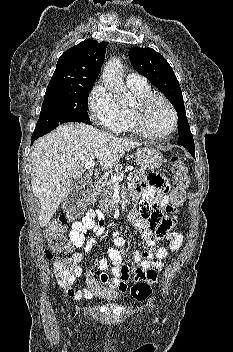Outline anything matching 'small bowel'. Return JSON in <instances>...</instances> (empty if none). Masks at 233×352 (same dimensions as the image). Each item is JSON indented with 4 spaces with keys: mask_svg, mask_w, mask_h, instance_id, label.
I'll return each instance as SVG.
<instances>
[{
    "mask_svg": "<svg viewBox=\"0 0 233 352\" xmlns=\"http://www.w3.org/2000/svg\"><path fill=\"white\" fill-rule=\"evenodd\" d=\"M169 185L166 180L158 174H150L145 180L130 187V196L133 201H139L140 212H130V219L140 231L146 245L155 251L137 250L133 253V260L139 266L130 268L122 262L125 239L119 231L112 234L114 247L109 249L108 255L97 262V270L106 276V283L121 291H126L130 282H140L145 279L149 270H160L163 267V260L167 257L168 251L164 247H158L165 239L170 241V250L176 251L182 244V235L172 231L177 222L176 208L168 203L167 193ZM164 211L166 215H164ZM91 230L95 235H102L105 232V222L102 213L92 208L88 209L80 221L72 223L69 232V240L74 247L84 248L86 252L93 249L95 239H85L86 233ZM83 260L82 253H74L70 258L73 269L72 275L66 280H58L59 285L66 293L77 299H91V292L85 287L79 289L74 286L75 280L81 275L80 264ZM112 263L113 278L105 272L109 263Z\"/></svg>",
    "mask_w": 233,
    "mask_h": 352,
    "instance_id": "c3829d8e",
    "label": "small bowel"
}]
</instances>
